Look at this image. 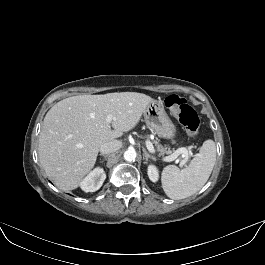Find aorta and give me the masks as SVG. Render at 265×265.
I'll return each mask as SVG.
<instances>
[{
    "mask_svg": "<svg viewBox=\"0 0 265 265\" xmlns=\"http://www.w3.org/2000/svg\"><path fill=\"white\" fill-rule=\"evenodd\" d=\"M137 153L134 149H128L124 152V159L126 161H134L136 159Z\"/></svg>",
    "mask_w": 265,
    "mask_h": 265,
    "instance_id": "obj_1",
    "label": "aorta"
}]
</instances>
